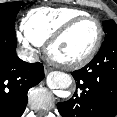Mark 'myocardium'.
Instances as JSON below:
<instances>
[{
  "mask_svg": "<svg viewBox=\"0 0 117 117\" xmlns=\"http://www.w3.org/2000/svg\"><path fill=\"white\" fill-rule=\"evenodd\" d=\"M85 20H93L98 28L97 38L90 52L84 57L73 61H63L57 59L52 54V48L54 47V45L57 44L60 40H62L75 26ZM103 36V26L98 18L91 15L79 16L65 23L60 29H58L49 37V39L46 41L45 52L47 54L48 60L55 66L63 69H78L87 65L95 58L102 45Z\"/></svg>",
  "mask_w": 117,
  "mask_h": 117,
  "instance_id": "1",
  "label": "myocardium"
}]
</instances>
